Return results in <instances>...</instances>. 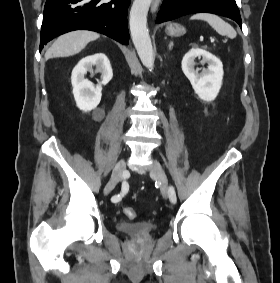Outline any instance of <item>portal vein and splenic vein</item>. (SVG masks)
<instances>
[{"label": "portal vein and splenic vein", "mask_w": 280, "mask_h": 283, "mask_svg": "<svg viewBox=\"0 0 280 283\" xmlns=\"http://www.w3.org/2000/svg\"><path fill=\"white\" fill-rule=\"evenodd\" d=\"M211 42H214V39H213V38H211Z\"/></svg>", "instance_id": "obj_1"}]
</instances>
